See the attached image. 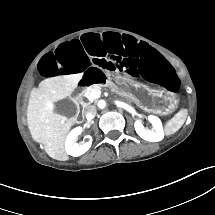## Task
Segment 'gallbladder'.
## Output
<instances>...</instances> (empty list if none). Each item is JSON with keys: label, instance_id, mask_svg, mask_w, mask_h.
<instances>
[{"label": "gallbladder", "instance_id": "bac80fb5", "mask_svg": "<svg viewBox=\"0 0 215 215\" xmlns=\"http://www.w3.org/2000/svg\"><path fill=\"white\" fill-rule=\"evenodd\" d=\"M54 108L58 114L68 118L76 115V104L69 98L62 101H56L54 103Z\"/></svg>", "mask_w": 215, "mask_h": 215}]
</instances>
